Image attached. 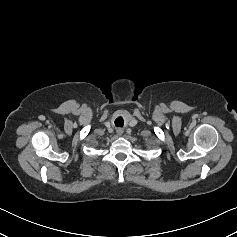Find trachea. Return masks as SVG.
I'll return each instance as SVG.
<instances>
[{
	"label": "trachea",
	"mask_w": 237,
	"mask_h": 237,
	"mask_svg": "<svg viewBox=\"0 0 237 237\" xmlns=\"http://www.w3.org/2000/svg\"><path fill=\"white\" fill-rule=\"evenodd\" d=\"M121 122H123V119L122 118H118L115 120V125L116 126H121Z\"/></svg>",
	"instance_id": "obj_1"
}]
</instances>
